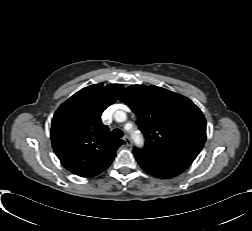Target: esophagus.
Wrapping results in <instances>:
<instances>
[{
  "instance_id": "obj_1",
  "label": "esophagus",
  "mask_w": 252,
  "mask_h": 231,
  "mask_svg": "<svg viewBox=\"0 0 252 231\" xmlns=\"http://www.w3.org/2000/svg\"><path fill=\"white\" fill-rule=\"evenodd\" d=\"M123 140L125 141L127 146H130L132 143L131 139L127 135L123 137Z\"/></svg>"
}]
</instances>
